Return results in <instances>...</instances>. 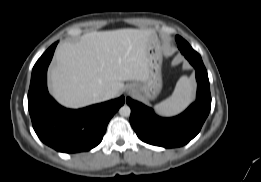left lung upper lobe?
Segmentation results:
<instances>
[{
	"instance_id": "left-lung-upper-lobe-1",
	"label": "left lung upper lobe",
	"mask_w": 261,
	"mask_h": 182,
	"mask_svg": "<svg viewBox=\"0 0 261 182\" xmlns=\"http://www.w3.org/2000/svg\"><path fill=\"white\" fill-rule=\"evenodd\" d=\"M176 42L178 45V48L180 49L181 53L184 54L185 52L187 53H195L192 49V47L189 45L187 41H185L182 37L176 36Z\"/></svg>"
}]
</instances>
